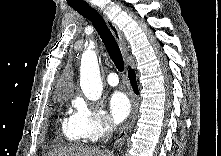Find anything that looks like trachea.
Listing matches in <instances>:
<instances>
[{
    "label": "trachea",
    "mask_w": 221,
    "mask_h": 156,
    "mask_svg": "<svg viewBox=\"0 0 221 156\" xmlns=\"http://www.w3.org/2000/svg\"><path fill=\"white\" fill-rule=\"evenodd\" d=\"M69 1V0H67ZM75 2H68V4L76 10L80 15L87 18L93 26L95 27L96 31L100 35V38L102 39L107 52L115 64L116 68L123 72L124 70V61L123 57L120 51V48L113 37L110 29L106 25L105 21L101 17V15L92 7L89 6V4L83 0H71Z\"/></svg>",
    "instance_id": "3493384b"
}]
</instances>
